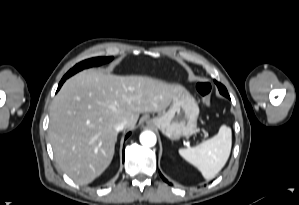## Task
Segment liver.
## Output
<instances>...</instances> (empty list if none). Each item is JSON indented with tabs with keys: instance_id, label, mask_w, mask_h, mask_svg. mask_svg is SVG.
Instances as JSON below:
<instances>
[{
	"instance_id": "6515ba94",
	"label": "liver",
	"mask_w": 299,
	"mask_h": 205,
	"mask_svg": "<svg viewBox=\"0 0 299 205\" xmlns=\"http://www.w3.org/2000/svg\"><path fill=\"white\" fill-rule=\"evenodd\" d=\"M184 88L147 76L86 69L65 81L50 106L49 137L56 162L86 185L110 165L118 132L133 129L140 113L165 110Z\"/></svg>"
}]
</instances>
